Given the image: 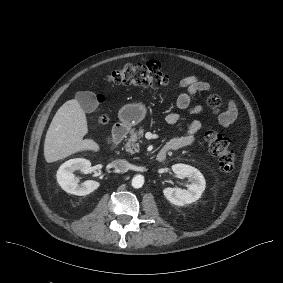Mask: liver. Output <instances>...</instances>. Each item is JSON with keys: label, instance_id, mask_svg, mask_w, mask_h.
I'll use <instances>...</instances> for the list:
<instances>
[{"label": "liver", "instance_id": "6515ba94", "mask_svg": "<svg viewBox=\"0 0 283 283\" xmlns=\"http://www.w3.org/2000/svg\"><path fill=\"white\" fill-rule=\"evenodd\" d=\"M88 133L85 112L77 99L65 102L56 112L46 133L44 157L48 163L85 150L99 151L92 139H83Z\"/></svg>", "mask_w": 283, "mask_h": 283}]
</instances>
